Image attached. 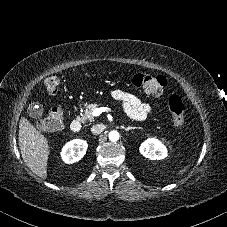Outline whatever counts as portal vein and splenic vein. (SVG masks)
Instances as JSON below:
<instances>
[{
	"instance_id": "obj_1",
	"label": "portal vein and splenic vein",
	"mask_w": 227,
	"mask_h": 227,
	"mask_svg": "<svg viewBox=\"0 0 227 227\" xmlns=\"http://www.w3.org/2000/svg\"><path fill=\"white\" fill-rule=\"evenodd\" d=\"M108 111H111V109L108 108V107H100V108L94 109L93 112H92V115L95 116V117H97V116H99L102 112H108Z\"/></svg>"
}]
</instances>
